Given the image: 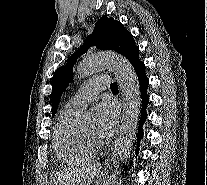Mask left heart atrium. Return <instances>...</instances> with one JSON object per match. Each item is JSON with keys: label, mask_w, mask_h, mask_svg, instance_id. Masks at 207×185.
<instances>
[{"label": "left heart atrium", "mask_w": 207, "mask_h": 185, "mask_svg": "<svg viewBox=\"0 0 207 185\" xmlns=\"http://www.w3.org/2000/svg\"><path fill=\"white\" fill-rule=\"evenodd\" d=\"M97 134L104 138H111L119 126V108L115 102L105 100L96 108Z\"/></svg>", "instance_id": "left-heart-atrium-1"}]
</instances>
